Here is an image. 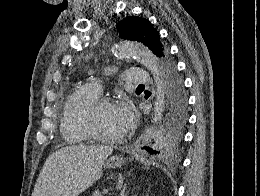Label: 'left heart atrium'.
<instances>
[{
    "label": "left heart atrium",
    "mask_w": 260,
    "mask_h": 196,
    "mask_svg": "<svg viewBox=\"0 0 260 196\" xmlns=\"http://www.w3.org/2000/svg\"><path fill=\"white\" fill-rule=\"evenodd\" d=\"M119 113L123 126L127 128L134 119L133 108L126 102H122L119 104Z\"/></svg>",
    "instance_id": "39dd6f15"
}]
</instances>
